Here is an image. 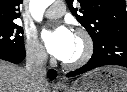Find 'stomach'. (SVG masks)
I'll list each match as a JSON object with an SVG mask.
<instances>
[{"label":"stomach","mask_w":127,"mask_h":92,"mask_svg":"<svg viewBox=\"0 0 127 92\" xmlns=\"http://www.w3.org/2000/svg\"><path fill=\"white\" fill-rule=\"evenodd\" d=\"M66 92H127V71L104 66L75 80Z\"/></svg>","instance_id":"stomach-1"}]
</instances>
